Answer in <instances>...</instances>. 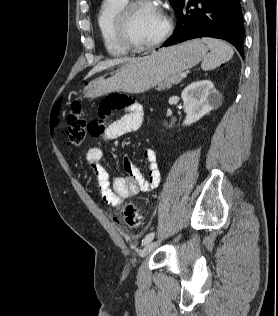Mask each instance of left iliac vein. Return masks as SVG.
<instances>
[{
    "instance_id": "1",
    "label": "left iliac vein",
    "mask_w": 278,
    "mask_h": 316,
    "mask_svg": "<svg viewBox=\"0 0 278 316\" xmlns=\"http://www.w3.org/2000/svg\"><path fill=\"white\" fill-rule=\"evenodd\" d=\"M160 242L158 241H153V242H149L144 249L141 251L140 256L141 257H146L147 255H149L151 252H153L159 245Z\"/></svg>"
}]
</instances>
